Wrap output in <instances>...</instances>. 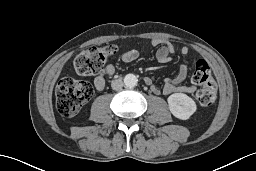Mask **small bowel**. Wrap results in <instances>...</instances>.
Here are the masks:
<instances>
[{
    "label": "small bowel",
    "mask_w": 256,
    "mask_h": 171,
    "mask_svg": "<svg viewBox=\"0 0 256 171\" xmlns=\"http://www.w3.org/2000/svg\"><path fill=\"white\" fill-rule=\"evenodd\" d=\"M152 45L157 47L156 58L159 63L165 64L171 60V55L175 52V46L168 40L162 38H155L152 40ZM190 49L188 47L181 48L182 55H188ZM138 56L136 50H129L122 55L124 62H132ZM189 71L188 65H183L180 68L179 74L174 78H168L165 80L162 89H159L155 81L152 78L147 79V84L155 94L170 95L176 92H193L195 87L193 85L183 86V81L187 78ZM115 73V67L112 64H107L103 67L101 72L96 75L94 79V87L100 91L105 87V79L108 76H112Z\"/></svg>",
    "instance_id": "obj_1"
}]
</instances>
